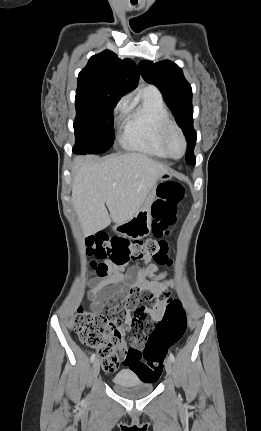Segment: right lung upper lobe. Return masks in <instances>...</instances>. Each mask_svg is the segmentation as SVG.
Segmentation results:
<instances>
[{
	"label": "right lung upper lobe",
	"instance_id": "right-lung-upper-lobe-1",
	"mask_svg": "<svg viewBox=\"0 0 261 431\" xmlns=\"http://www.w3.org/2000/svg\"><path fill=\"white\" fill-rule=\"evenodd\" d=\"M139 72L129 58L121 60L105 50L92 56L78 75V86L91 87L115 93L121 97L138 85Z\"/></svg>",
	"mask_w": 261,
	"mask_h": 431
}]
</instances>
